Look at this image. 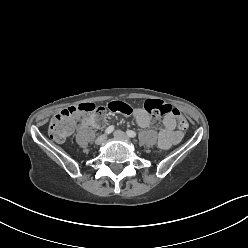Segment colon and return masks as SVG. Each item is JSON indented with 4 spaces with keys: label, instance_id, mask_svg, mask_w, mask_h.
Here are the masks:
<instances>
[{
    "label": "colon",
    "instance_id": "obj_1",
    "mask_svg": "<svg viewBox=\"0 0 248 248\" xmlns=\"http://www.w3.org/2000/svg\"><path fill=\"white\" fill-rule=\"evenodd\" d=\"M142 108L149 114L159 117L167 114H173L178 120V127L182 131L188 129V121L179 112V110L172 108L171 105L158 101L146 100ZM108 109L115 113H121L127 117H132L134 112L132 107L122 101H112L108 104ZM85 116L91 123L100 125L106 120L104 107L98 106L94 103H82L78 106H70L58 114H56L50 121L48 132L50 137L55 141H63L72 131L73 124L76 118Z\"/></svg>",
    "mask_w": 248,
    "mask_h": 248
}]
</instances>
